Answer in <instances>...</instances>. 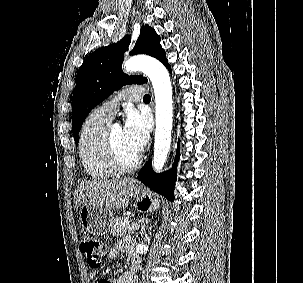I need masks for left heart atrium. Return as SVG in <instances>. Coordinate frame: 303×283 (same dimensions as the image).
<instances>
[{
  "instance_id": "left-heart-atrium-1",
  "label": "left heart atrium",
  "mask_w": 303,
  "mask_h": 283,
  "mask_svg": "<svg viewBox=\"0 0 303 283\" xmlns=\"http://www.w3.org/2000/svg\"><path fill=\"white\" fill-rule=\"evenodd\" d=\"M150 133V120L144 113L130 110L126 114L123 134L126 142L135 153H140L148 142Z\"/></svg>"
}]
</instances>
